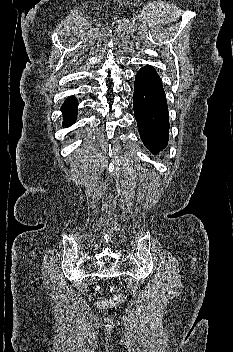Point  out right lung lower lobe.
I'll use <instances>...</instances> for the list:
<instances>
[{"mask_svg":"<svg viewBox=\"0 0 233 352\" xmlns=\"http://www.w3.org/2000/svg\"><path fill=\"white\" fill-rule=\"evenodd\" d=\"M77 100L74 97L67 99L61 107L63 112V125L68 127L72 125L76 120L77 115Z\"/></svg>","mask_w":233,"mask_h":352,"instance_id":"obj_1","label":"right lung lower lobe"}]
</instances>
